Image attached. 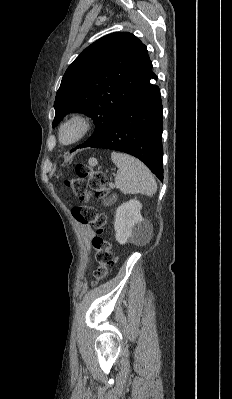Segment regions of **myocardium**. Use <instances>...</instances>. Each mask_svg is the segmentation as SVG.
I'll list each match as a JSON object with an SVG mask.
<instances>
[{
  "label": "myocardium",
  "instance_id": "obj_1",
  "mask_svg": "<svg viewBox=\"0 0 232 399\" xmlns=\"http://www.w3.org/2000/svg\"><path fill=\"white\" fill-rule=\"evenodd\" d=\"M73 123H78L80 125V131L74 139L66 142L62 138L63 130L66 126L73 124ZM92 126H93V121H92V117L89 113L84 112V111L73 112L60 124L59 130H58V136H59L60 142L65 145L74 144V143L80 141L82 138H84L90 132V130L92 129Z\"/></svg>",
  "mask_w": 232,
  "mask_h": 399
}]
</instances>
